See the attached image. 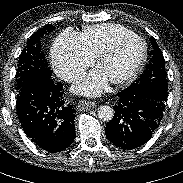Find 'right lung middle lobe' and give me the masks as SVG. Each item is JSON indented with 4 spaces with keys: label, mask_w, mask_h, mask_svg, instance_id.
<instances>
[{
    "label": "right lung middle lobe",
    "mask_w": 183,
    "mask_h": 183,
    "mask_svg": "<svg viewBox=\"0 0 183 183\" xmlns=\"http://www.w3.org/2000/svg\"><path fill=\"white\" fill-rule=\"evenodd\" d=\"M52 30L51 24L40 28L30 37L27 46L21 52L15 77L17 92L24 85L52 78V70L48 67L44 53L41 51L42 36Z\"/></svg>",
    "instance_id": "right-lung-middle-lobe-1"
}]
</instances>
